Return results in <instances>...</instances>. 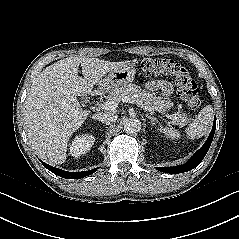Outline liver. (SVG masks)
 <instances>
[{"instance_id": "1", "label": "liver", "mask_w": 239, "mask_h": 239, "mask_svg": "<svg viewBox=\"0 0 239 239\" xmlns=\"http://www.w3.org/2000/svg\"><path fill=\"white\" fill-rule=\"evenodd\" d=\"M123 62L98 58L67 57L45 68L33 81L24 107V120L31 147L50 164L66 161L70 137L84 123L77 96L92 92L95 85ZM81 65L84 78L78 76Z\"/></svg>"}]
</instances>
